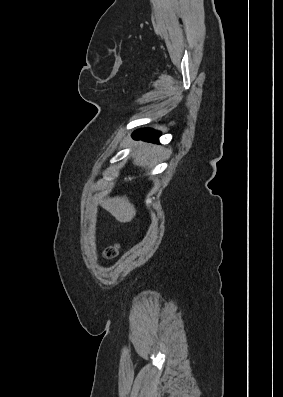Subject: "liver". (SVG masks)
Listing matches in <instances>:
<instances>
[{
    "mask_svg": "<svg viewBox=\"0 0 283 397\" xmlns=\"http://www.w3.org/2000/svg\"><path fill=\"white\" fill-rule=\"evenodd\" d=\"M158 151L159 148L154 146H141L134 153V165L140 167L148 166ZM101 206L120 223L130 222L136 215L134 205L129 202L126 196L105 199L101 202Z\"/></svg>",
    "mask_w": 283,
    "mask_h": 397,
    "instance_id": "liver-1",
    "label": "liver"
}]
</instances>
